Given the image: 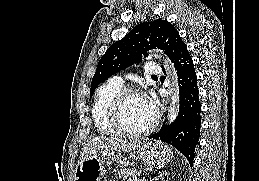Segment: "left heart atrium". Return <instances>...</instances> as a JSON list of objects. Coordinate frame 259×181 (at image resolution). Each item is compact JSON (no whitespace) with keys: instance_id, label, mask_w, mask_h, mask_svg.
Listing matches in <instances>:
<instances>
[{"instance_id":"obj_1","label":"left heart atrium","mask_w":259,"mask_h":181,"mask_svg":"<svg viewBox=\"0 0 259 181\" xmlns=\"http://www.w3.org/2000/svg\"><path fill=\"white\" fill-rule=\"evenodd\" d=\"M145 102H146V105H147L148 109L152 113H156V111H157L156 103L150 98H145Z\"/></svg>"}]
</instances>
